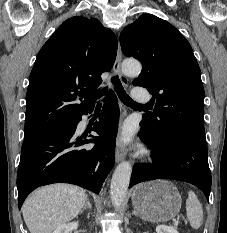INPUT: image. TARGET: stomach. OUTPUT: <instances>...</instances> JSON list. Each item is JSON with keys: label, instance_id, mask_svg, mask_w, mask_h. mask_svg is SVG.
<instances>
[{"label": "stomach", "instance_id": "stomach-1", "mask_svg": "<svg viewBox=\"0 0 227 233\" xmlns=\"http://www.w3.org/2000/svg\"><path fill=\"white\" fill-rule=\"evenodd\" d=\"M132 202L144 220L166 222L180 212L182 199L174 184L157 180L136 186L132 192Z\"/></svg>", "mask_w": 227, "mask_h": 233}]
</instances>
